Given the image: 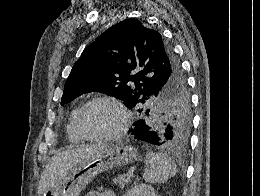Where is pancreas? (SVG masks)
Segmentation results:
<instances>
[{
	"label": "pancreas",
	"instance_id": "cf45deb5",
	"mask_svg": "<svg viewBox=\"0 0 260 196\" xmlns=\"http://www.w3.org/2000/svg\"><path fill=\"white\" fill-rule=\"evenodd\" d=\"M114 186H120V188H125L126 184H130V178H126L124 176H118V178H114L113 180Z\"/></svg>",
	"mask_w": 260,
	"mask_h": 196
}]
</instances>
